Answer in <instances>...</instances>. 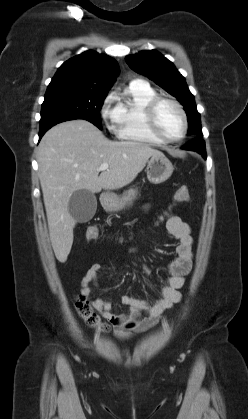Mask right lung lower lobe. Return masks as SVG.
<instances>
[{
  "mask_svg": "<svg viewBox=\"0 0 248 419\" xmlns=\"http://www.w3.org/2000/svg\"><path fill=\"white\" fill-rule=\"evenodd\" d=\"M74 119H81V118L74 117V116H62V117L52 118L45 121L44 123H41L40 131H39V139H41V137L45 134V132L49 130L52 126L58 123L64 122V121L74 120Z\"/></svg>",
  "mask_w": 248,
  "mask_h": 419,
  "instance_id": "obj_1",
  "label": "right lung lower lobe"
}]
</instances>
